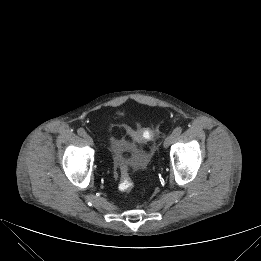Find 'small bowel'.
Listing matches in <instances>:
<instances>
[{
  "instance_id": "c3829d8e",
  "label": "small bowel",
  "mask_w": 261,
  "mask_h": 261,
  "mask_svg": "<svg viewBox=\"0 0 261 261\" xmlns=\"http://www.w3.org/2000/svg\"><path fill=\"white\" fill-rule=\"evenodd\" d=\"M122 146H123V142H118V143H117V148L120 149V148H122Z\"/></svg>"
}]
</instances>
